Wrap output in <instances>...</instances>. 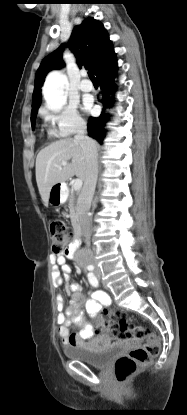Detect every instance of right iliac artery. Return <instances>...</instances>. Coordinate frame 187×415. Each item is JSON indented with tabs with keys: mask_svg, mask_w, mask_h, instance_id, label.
<instances>
[{
	"mask_svg": "<svg viewBox=\"0 0 187 415\" xmlns=\"http://www.w3.org/2000/svg\"><path fill=\"white\" fill-rule=\"evenodd\" d=\"M87 268H88L89 271H92L93 270V266L92 265L88 266Z\"/></svg>",
	"mask_w": 187,
	"mask_h": 415,
	"instance_id": "82829eb1",
	"label": "right iliac artery"
}]
</instances>
